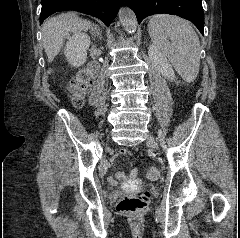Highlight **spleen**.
Returning a JSON list of instances; mask_svg holds the SVG:
<instances>
[{
	"label": "spleen",
	"instance_id": "obj_1",
	"mask_svg": "<svg viewBox=\"0 0 240 238\" xmlns=\"http://www.w3.org/2000/svg\"><path fill=\"white\" fill-rule=\"evenodd\" d=\"M148 32L154 45L164 53L186 82H193L199 73L200 41L189 22L171 15L151 18Z\"/></svg>",
	"mask_w": 240,
	"mask_h": 238
}]
</instances>
